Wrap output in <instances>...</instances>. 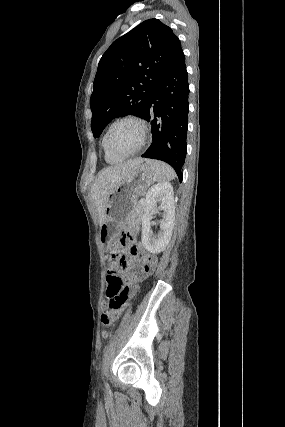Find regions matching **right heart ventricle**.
<instances>
[{"label": "right heart ventricle", "mask_w": 285, "mask_h": 427, "mask_svg": "<svg viewBox=\"0 0 285 427\" xmlns=\"http://www.w3.org/2000/svg\"><path fill=\"white\" fill-rule=\"evenodd\" d=\"M101 146H102V149H103V152H104V158H105L106 162H108L110 164H115V163H119V162H121L123 160L122 157L116 156V155H114V154H112V153H110L108 151V149L105 146L104 136H103V138L101 140Z\"/></svg>", "instance_id": "right-heart-ventricle-1"}]
</instances>
